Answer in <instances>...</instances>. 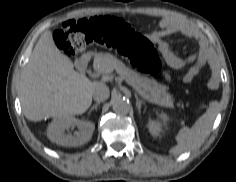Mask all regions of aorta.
<instances>
[{
    "instance_id": "762f6f07",
    "label": "aorta",
    "mask_w": 236,
    "mask_h": 182,
    "mask_svg": "<svg viewBox=\"0 0 236 182\" xmlns=\"http://www.w3.org/2000/svg\"><path fill=\"white\" fill-rule=\"evenodd\" d=\"M113 111L119 115H126L130 111V104L123 98H116L113 101Z\"/></svg>"
}]
</instances>
